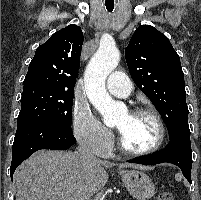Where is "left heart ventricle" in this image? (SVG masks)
<instances>
[{
    "label": "left heart ventricle",
    "mask_w": 201,
    "mask_h": 200,
    "mask_svg": "<svg viewBox=\"0 0 201 200\" xmlns=\"http://www.w3.org/2000/svg\"><path fill=\"white\" fill-rule=\"evenodd\" d=\"M126 145L134 150L152 147L159 138V129L148 115H130L124 113L115 123Z\"/></svg>",
    "instance_id": "obj_1"
}]
</instances>
